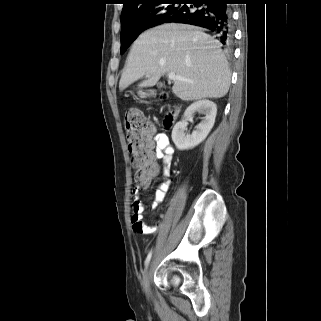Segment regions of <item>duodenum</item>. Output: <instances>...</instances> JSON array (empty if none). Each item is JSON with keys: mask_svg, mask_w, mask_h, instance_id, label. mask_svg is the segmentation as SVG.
<instances>
[{"mask_svg": "<svg viewBox=\"0 0 321 321\" xmlns=\"http://www.w3.org/2000/svg\"><path fill=\"white\" fill-rule=\"evenodd\" d=\"M178 113V108H175L174 110H172L171 112H169L165 118V125L166 126H171L172 123L174 122L176 116Z\"/></svg>", "mask_w": 321, "mask_h": 321, "instance_id": "obj_1", "label": "duodenum"}]
</instances>
